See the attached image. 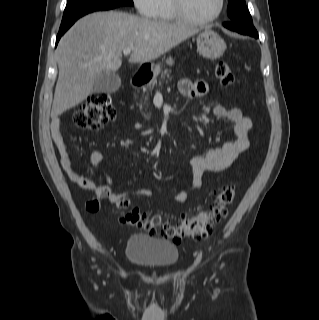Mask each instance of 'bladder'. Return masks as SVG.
<instances>
[{"instance_id": "1", "label": "bladder", "mask_w": 319, "mask_h": 320, "mask_svg": "<svg viewBox=\"0 0 319 320\" xmlns=\"http://www.w3.org/2000/svg\"><path fill=\"white\" fill-rule=\"evenodd\" d=\"M126 256L135 264L151 269H165L177 263L179 251L172 241L131 234L126 244Z\"/></svg>"}]
</instances>
